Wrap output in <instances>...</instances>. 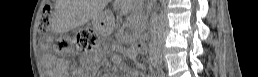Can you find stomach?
Listing matches in <instances>:
<instances>
[{"instance_id":"stomach-1","label":"stomach","mask_w":258,"mask_h":77,"mask_svg":"<svg viewBox=\"0 0 258 77\" xmlns=\"http://www.w3.org/2000/svg\"><path fill=\"white\" fill-rule=\"evenodd\" d=\"M101 24V20H96V25H100Z\"/></svg>"}]
</instances>
